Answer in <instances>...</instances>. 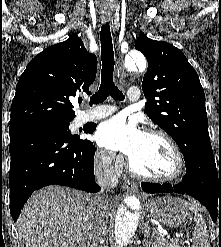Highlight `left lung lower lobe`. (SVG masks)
I'll use <instances>...</instances> for the list:
<instances>
[{
	"mask_svg": "<svg viewBox=\"0 0 221 247\" xmlns=\"http://www.w3.org/2000/svg\"><path fill=\"white\" fill-rule=\"evenodd\" d=\"M186 174L176 185L141 183L147 193L188 194L199 200L209 211L212 220L221 222V167L215 164L212 147H201L194 155L185 160Z\"/></svg>",
	"mask_w": 221,
	"mask_h": 247,
	"instance_id": "obj_1",
	"label": "left lung lower lobe"
}]
</instances>
